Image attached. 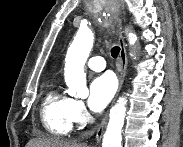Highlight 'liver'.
Instances as JSON below:
<instances>
[{"instance_id": "6515ba94", "label": "liver", "mask_w": 183, "mask_h": 147, "mask_svg": "<svg viewBox=\"0 0 183 147\" xmlns=\"http://www.w3.org/2000/svg\"><path fill=\"white\" fill-rule=\"evenodd\" d=\"M26 147H86L85 144L61 140L56 137H38L27 143Z\"/></svg>"}]
</instances>
